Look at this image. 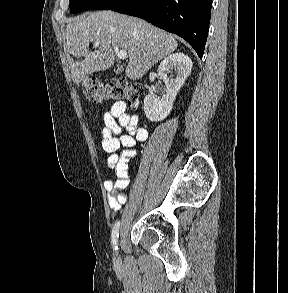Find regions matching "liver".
Listing matches in <instances>:
<instances>
[{
    "label": "liver",
    "instance_id": "6515ba94",
    "mask_svg": "<svg viewBox=\"0 0 288 293\" xmlns=\"http://www.w3.org/2000/svg\"><path fill=\"white\" fill-rule=\"evenodd\" d=\"M65 38V49L75 57L70 60V71L77 85L86 76L113 66L114 46L127 52L129 61L125 74L131 80L142 78L178 47L174 37L165 31L142 19L109 10L74 18L66 26ZM96 40L100 41L95 46L97 49L89 51L90 42Z\"/></svg>",
    "mask_w": 288,
    "mask_h": 293
}]
</instances>
